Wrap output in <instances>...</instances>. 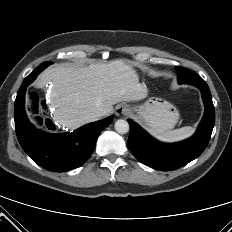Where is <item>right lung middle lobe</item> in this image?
Masks as SVG:
<instances>
[{
	"label": "right lung middle lobe",
	"instance_id": "right-lung-middle-lobe-1",
	"mask_svg": "<svg viewBox=\"0 0 232 232\" xmlns=\"http://www.w3.org/2000/svg\"><path fill=\"white\" fill-rule=\"evenodd\" d=\"M50 64V62H44L42 63L37 69H35L36 71L39 70V71H42L44 68L47 67V65Z\"/></svg>",
	"mask_w": 232,
	"mask_h": 232
}]
</instances>
